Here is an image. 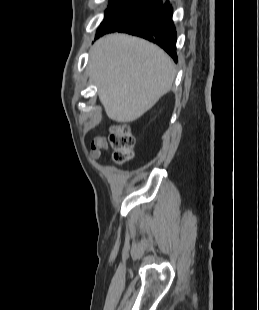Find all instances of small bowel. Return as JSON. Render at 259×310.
<instances>
[{
    "label": "small bowel",
    "instance_id": "obj_1",
    "mask_svg": "<svg viewBox=\"0 0 259 310\" xmlns=\"http://www.w3.org/2000/svg\"><path fill=\"white\" fill-rule=\"evenodd\" d=\"M107 150H108V144L105 138L101 136L96 137L91 144L90 156L92 159L98 160Z\"/></svg>",
    "mask_w": 259,
    "mask_h": 310
}]
</instances>
